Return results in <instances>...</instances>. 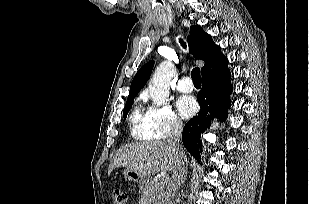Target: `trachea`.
Instances as JSON below:
<instances>
[{
    "label": "trachea",
    "mask_w": 309,
    "mask_h": 204,
    "mask_svg": "<svg viewBox=\"0 0 309 204\" xmlns=\"http://www.w3.org/2000/svg\"><path fill=\"white\" fill-rule=\"evenodd\" d=\"M180 42L182 43L183 47H186L185 43L182 40H180ZM191 77L195 85H201V75H200V69L198 67H195L192 70Z\"/></svg>",
    "instance_id": "3493384b"
}]
</instances>
